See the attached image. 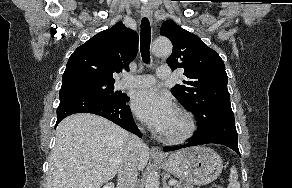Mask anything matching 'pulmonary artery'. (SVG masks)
Returning <instances> with one entry per match:
<instances>
[{
    "label": "pulmonary artery",
    "mask_w": 292,
    "mask_h": 188,
    "mask_svg": "<svg viewBox=\"0 0 292 188\" xmlns=\"http://www.w3.org/2000/svg\"><path fill=\"white\" fill-rule=\"evenodd\" d=\"M156 75L159 79H168L171 77V71L168 66H160ZM156 82V78L152 75H131L125 74L118 82L120 89L127 88H146L152 86Z\"/></svg>",
    "instance_id": "obj_1"
}]
</instances>
